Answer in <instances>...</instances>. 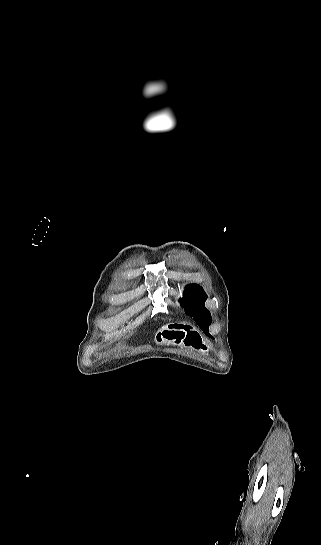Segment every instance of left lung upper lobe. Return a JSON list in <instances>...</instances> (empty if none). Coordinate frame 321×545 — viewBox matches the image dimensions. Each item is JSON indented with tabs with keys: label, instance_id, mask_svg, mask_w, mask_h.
Instances as JSON below:
<instances>
[{
	"label": "left lung upper lobe",
	"instance_id": "1",
	"mask_svg": "<svg viewBox=\"0 0 321 545\" xmlns=\"http://www.w3.org/2000/svg\"><path fill=\"white\" fill-rule=\"evenodd\" d=\"M207 298L202 287L197 284H189L185 287L183 298L179 300L185 312L192 316L200 328L208 334V326L211 323L210 312L204 307Z\"/></svg>",
	"mask_w": 321,
	"mask_h": 545
}]
</instances>
